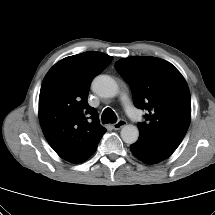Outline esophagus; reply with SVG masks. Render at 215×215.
<instances>
[{
	"label": "esophagus",
	"instance_id": "obj_1",
	"mask_svg": "<svg viewBox=\"0 0 215 215\" xmlns=\"http://www.w3.org/2000/svg\"><path fill=\"white\" fill-rule=\"evenodd\" d=\"M127 125V122L123 119L117 121L116 123L113 124V128L115 130H119L121 129L122 127L126 126Z\"/></svg>",
	"mask_w": 215,
	"mask_h": 215
}]
</instances>
